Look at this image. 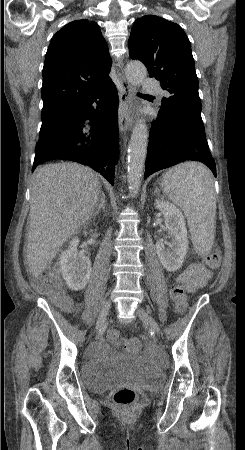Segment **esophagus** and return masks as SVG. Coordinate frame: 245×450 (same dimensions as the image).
I'll return each instance as SVG.
<instances>
[{
    "label": "esophagus",
    "instance_id": "1",
    "mask_svg": "<svg viewBox=\"0 0 245 450\" xmlns=\"http://www.w3.org/2000/svg\"><path fill=\"white\" fill-rule=\"evenodd\" d=\"M117 76L121 82V90L119 94V111L118 122L121 133H124L133 124L134 121V94L131 85L121 72H117Z\"/></svg>",
    "mask_w": 245,
    "mask_h": 450
}]
</instances>
